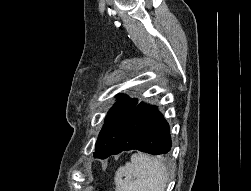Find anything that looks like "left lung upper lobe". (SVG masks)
I'll list each match as a JSON object with an SVG mask.
<instances>
[{"mask_svg": "<svg viewBox=\"0 0 251 191\" xmlns=\"http://www.w3.org/2000/svg\"><path fill=\"white\" fill-rule=\"evenodd\" d=\"M117 97L118 102L109 110L104 126L98 136L94 152V157L96 158L105 159L108 157L116 137L138 104V99L136 98H129L122 94H118Z\"/></svg>", "mask_w": 251, "mask_h": 191, "instance_id": "obj_1", "label": "left lung upper lobe"}]
</instances>
